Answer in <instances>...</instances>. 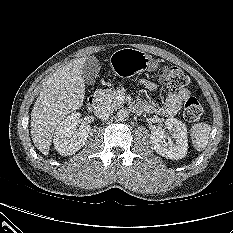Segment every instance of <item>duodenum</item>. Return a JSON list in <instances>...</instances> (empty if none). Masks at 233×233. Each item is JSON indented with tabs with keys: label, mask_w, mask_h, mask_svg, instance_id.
Masks as SVG:
<instances>
[{
	"label": "duodenum",
	"mask_w": 233,
	"mask_h": 233,
	"mask_svg": "<svg viewBox=\"0 0 233 233\" xmlns=\"http://www.w3.org/2000/svg\"><path fill=\"white\" fill-rule=\"evenodd\" d=\"M99 98L97 95H92L88 98L87 106L90 110H93L97 107Z\"/></svg>",
	"instance_id": "1"
}]
</instances>
